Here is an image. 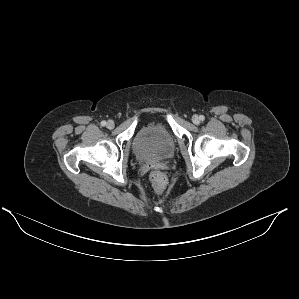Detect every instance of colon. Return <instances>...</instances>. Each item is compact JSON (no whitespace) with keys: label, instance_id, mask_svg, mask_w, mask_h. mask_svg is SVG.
Instances as JSON below:
<instances>
[{"label":"colon","instance_id":"colon-1","mask_svg":"<svg viewBox=\"0 0 299 299\" xmlns=\"http://www.w3.org/2000/svg\"><path fill=\"white\" fill-rule=\"evenodd\" d=\"M149 178L154 191L157 194L163 193L167 185L166 176L160 171H153Z\"/></svg>","mask_w":299,"mask_h":299}]
</instances>
